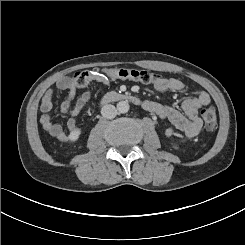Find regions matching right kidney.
I'll list each match as a JSON object with an SVG mask.
<instances>
[{"label":"right kidney","instance_id":"obj_1","mask_svg":"<svg viewBox=\"0 0 245 245\" xmlns=\"http://www.w3.org/2000/svg\"><path fill=\"white\" fill-rule=\"evenodd\" d=\"M70 143L69 144H73L76 143L81 135V131L79 129H73L70 131Z\"/></svg>","mask_w":245,"mask_h":245}]
</instances>
